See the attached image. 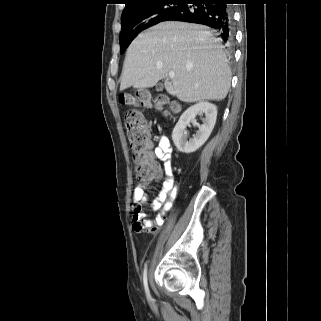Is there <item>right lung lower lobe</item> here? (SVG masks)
<instances>
[{
	"label": "right lung lower lobe",
	"instance_id": "right-lung-lower-lobe-1",
	"mask_svg": "<svg viewBox=\"0 0 321 321\" xmlns=\"http://www.w3.org/2000/svg\"><path fill=\"white\" fill-rule=\"evenodd\" d=\"M232 0H184L162 21L176 20L207 25L220 33L226 43L233 41Z\"/></svg>",
	"mask_w": 321,
	"mask_h": 321
}]
</instances>
